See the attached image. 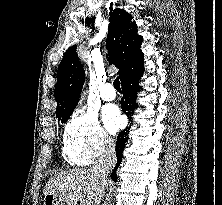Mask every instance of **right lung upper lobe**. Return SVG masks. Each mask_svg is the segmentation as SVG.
I'll use <instances>...</instances> for the list:
<instances>
[{
  "mask_svg": "<svg viewBox=\"0 0 222 205\" xmlns=\"http://www.w3.org/2000/svg\"><path fill=\"white\" fill-rule=\"evenodd\" d=\"M124 9L116 8L110 15L107 35L110 64L118 69L120 80L143 68L144 55L140 50L143 38L137 34V25ZM77 46L70 47L57 70L54 96L58 119L69 118L77 105L85 80V72L76 53Z\"/></svg>",
  "mask_w": 222,
  "mask_h": 205,
  "instance_id": "right-lung-upper-lobe-1",
  "label": "right lung upper lobe"
}]
</instances>
